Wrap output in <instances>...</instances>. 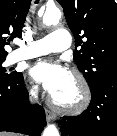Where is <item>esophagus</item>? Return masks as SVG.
Instances as JSON below:
<instances>
[{
  "label": "esophagus",
  "instance_id": "34e87169",
  "mask_svg": "<svg viewBox=\"0 0 117 136\" xmlns=\"http://www.w3.org/2000/svg\"><path fill=\"white\" fill-rule=\"evenodd\" d=\"M45 112H46V118L48 121H52L56 118V115L52 111L46 109Z\"/></svg>",
  "mask_w": 117,
  "mask_h": 136
}]
</instances>
